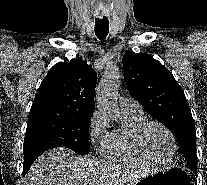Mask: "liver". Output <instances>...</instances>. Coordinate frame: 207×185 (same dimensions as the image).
Segmentation results:
<instances>
[{
  "label": "liver",
  "instance_id": "6515ba94",
  "mask_svg": "<svg viewBox=\"0 0 207 185\" xmlns=\"http://www.w3.org/2000/svg\"><path fill=\"white\" fill-rule=\"evenodd\" d=\"M95 167L94 161L56 147L38 157L26 177L28 185H96Z\"/></svg>",
  "mask_w": 207,
  "mask_h": 185
}]
</instances>
